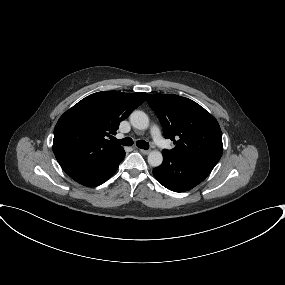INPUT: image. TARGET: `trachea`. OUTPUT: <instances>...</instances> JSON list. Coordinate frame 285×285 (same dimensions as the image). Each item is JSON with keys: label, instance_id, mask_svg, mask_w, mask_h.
<instances>
[{"label": "trachea", "instance_id": "obj_1", "mask_svg": "<svg viewBox=\"0 0 285 285\" xmlns=\"http://www.w3.org/2000/svg\"><path fill=\"white\" fill-rule=\"evenodd\" d=\"M112 140H113V142H115L117 144H120V145H123V146H131V145H133V140L130 137H126V138H123V139H120V140L116 139V138H113ZM136 145H137V147H139L141 149H145V150H147L149 148V143H147L144 140H138L136 142Z\"/></svg>", "mask_w": 285, "mask_h": 285}]
</instances>
